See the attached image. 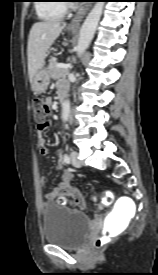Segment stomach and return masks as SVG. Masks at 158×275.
Here are the masks:
<instances>
[{
	"instance_id": "obj_1",
	"label": "stomach",
	"mask_w": 158,
	"mask_h": 275,
	"mask_svg": "<svg viewBox=\"0 0 158 275\" xmlns=\"http://www.w3.org/2000/svg\"><path fill=\"white\" fill-rule=\"evenodd\" d=\"M74 33V32H72ZM49 85V74L48 71L41 67L34 75L31 86L32 90L36 94L44 93Z\"/></svg>"
}]
</instances>
